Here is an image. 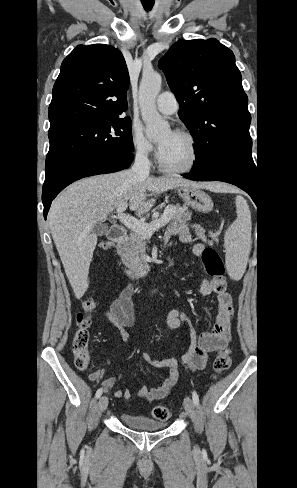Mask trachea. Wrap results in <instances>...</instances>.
Instances as JSON below:
<instances>
[{
    "label": "trachea",
    "mask_w": 297,
    "mask_h": 488,
    "mask_svg": "<svg viewBox=\"0 0 297 488\" xmlns=\"http://www.w3.org/2000/svg\"><path fill=\"white\" fill-rule=\"evenodd\" d=\"M142 5L146 11H150L154 5V2H148L147 0H142Z\"/></svg>",
    "instance_id": "trachea-1"
}]
</instances>
